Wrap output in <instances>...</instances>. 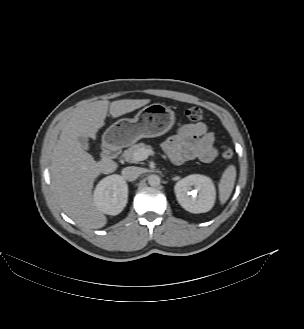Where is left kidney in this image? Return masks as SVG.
I'll list each match as a JSON object with an SVG mask.
<instances>
[{"label": "left kidney", "instance_id": "left-kidney-1", "mask_svg": "<svg viewBox=\"0 0 304 329\" xmlns=\"http://www.w3.org/2000/svg\"><path fill=\"white\" fill-rule=\"evenodd\" d=\"M193 188L195 190H192ZM174 191L178 203L185 210L195 214L210 211L216 199L213 181L200 174H192L179 180L174 186ZM193 191L198 192V195Z\"/></svg>", "mask_w": 304, "mask_h": 329}]
</instances>
